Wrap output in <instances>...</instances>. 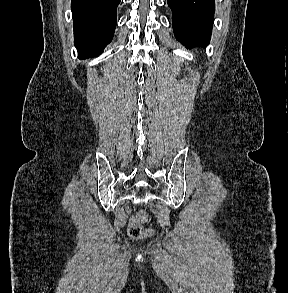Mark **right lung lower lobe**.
Here are the masks:
<instances>
[{
	"label": "right lung lower lobe",
	"instance_id": "98d812e1",
	"mask_svg": "<svg viewBox=\"0 0 288 293\" xmlns=\"http://www.w3.org/2000/svg\"><path fill=\"white\" fill-rule=\"evenodd\" d=\"M121 0H72L74 43L79 58L101 54L111 42Z\"/></svg>",
	"mask_w": 288,
	"mask_h": 293
}]
</instances>
